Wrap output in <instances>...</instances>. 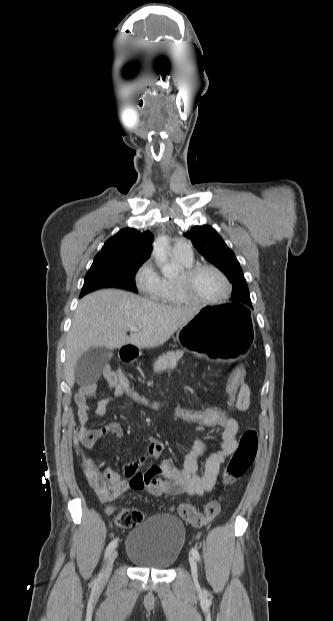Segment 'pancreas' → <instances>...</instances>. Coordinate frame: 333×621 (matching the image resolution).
<instances>
[{"label":"pancreas","instance_id":"obj_1","mask_svg":"<svg viewBox=\"0 0 333 621\" xmlns=\"http://www.w3.org/2000/svg\"><path fill=\"white\" fill-rule=\"evenodd\" d=\"M183 356L182 350L168 351L166 354H162L155 360L153 368L156 374L161 373L169 368H174L177 365L178 360Z\"/></svg>","mask_w":333,"mask_h":621}]
</instances>
